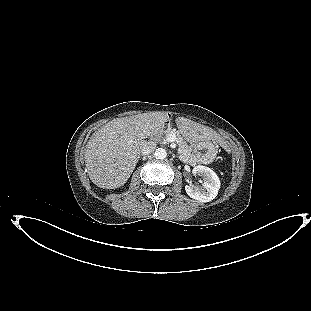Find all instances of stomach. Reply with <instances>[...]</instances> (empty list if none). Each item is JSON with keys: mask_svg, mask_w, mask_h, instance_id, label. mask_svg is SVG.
Returning a JSON list of instances; mask_svg holds the SVG:
<instances>
[{"mask_svg": "<svg viewBox=\"0 0 311 311\" xmlns=\"http://www.w3.org/2000/svg\"><path fill=\"white\" fill-rule=\"evenodd\" d=\"M180 132L191 143L193 152L200 161L210 163L216 158L217 148L209 139L196 138L188 131Z\"/></svg>", "mask_w": 311, "mask_h": 311, "instance_id": "1", "label": "stomach"}]
</instances>
